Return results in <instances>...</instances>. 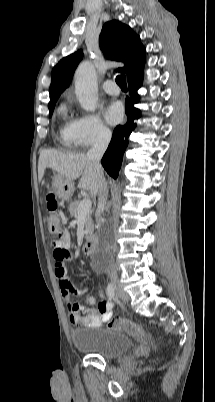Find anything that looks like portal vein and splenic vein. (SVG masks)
<instances>
[{
    "mask_svg": "<svg viewBox=\"0 0 215 402\" xmlns=\"http://www.w3.org/2000/svg\"><path fill=\"white\" fill-rule=\"evenodd\" d=\"M91 200L90 199H83L78 207V216H85L91 210Z\"/></svg>",
    "mask_w": 215,
    "mask_h": 402,
    "instance_id": "portal-vein-and-splenic-vein-1",
    "label": "portal vein and splenic vein"
}]
</instances>
